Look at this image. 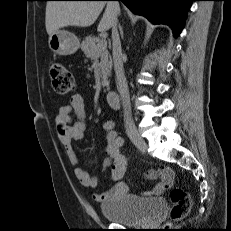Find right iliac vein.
Returning <instances> with one entry per match:
<instances>
[{
    "mask_svg": "<svg viewBox=\"0 0 231 231\" xmlns=\"http://www.w3.org/2000/svg\"><path fill=\"white\" fill-rule=\"evenodd\" d=\"M127 134L129 136V138L131 139V141L133 142V144L141 151V152H146L147 150V144L145 142V140L140 136V134L138 133V131L136 129H128L127 130Z\"/></svg>",
    "mask_w": 231,
    "mask_h": 231,
    "instance_id": "obj_1",
    "label": "right iliac vein"
}]
</instances>
